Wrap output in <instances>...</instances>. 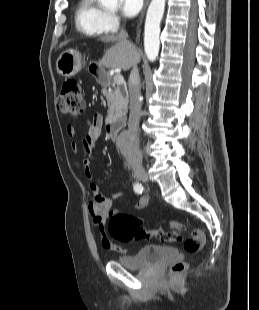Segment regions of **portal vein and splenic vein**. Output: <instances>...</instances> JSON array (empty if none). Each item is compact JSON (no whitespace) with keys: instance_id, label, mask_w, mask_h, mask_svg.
I'll return each mask as SVG.
<instances>
[{"instance_id":"18ae733b","label":"portal vein and splenic vein","mask_w":259,"mask_h":310,"mask_svg":"<svg viewBox=\"0 0 259 310\" xmlns=\"http://www.w3.org/2000/svg\"><path fill=\"white\" fill-rule=\"evenodd\" d=\"M113 80L116 85H122L124 83V78L121 74L114 75Z\"/></svg>"}]
</instances>
